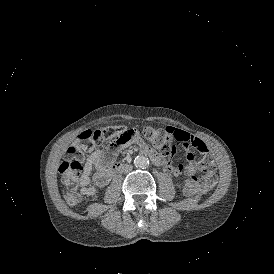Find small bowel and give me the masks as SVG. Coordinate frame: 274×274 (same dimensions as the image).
I'll list each match as a JSON object with an SVG mask.
<instances>
[{"label": "small bowel", "instance_id": "c3829d8e", "mask_svg": "<svg viewBox=\"0 0 274 274\" xmlns=\"http://www.w3.org/2000/svg\"><path fill=\"white\" fill-rule=\"evenodd\" d=\"M167 132L170 136L177 138V141L182 144L183 148L189 149L190 147H194L202 153L207 152L206 144L190 133L184 130H176L173 125L167 126ZM130 142L142 150L147 148L144 140L137 135H134ZM125 146L126 145L115 147L112 145L103 150H96L89 155L79 179V188L82 194L93 196L97 193L98 189L105 187L110 182L113 174L117 170L118 163L116 159ZM187 159L188 163L185 166L173 165L159 156L155 162L157 165L164 166V168L173 175L184 173L187 176H192L196 171L195 161L198 159V154L195 151H190L187 154ZM92 172H94V174H92Z\"/></svg>", "mask_w": 274, "mask_h": 274}]
</instances>
